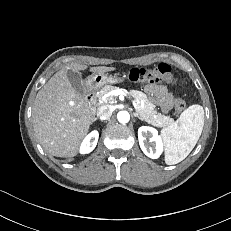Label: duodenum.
I'll return each mask as SVG.
<instances>
[{
    "label": "duodenum",
    "instance_id": "1",
    "mask_svg": "<svg viewBox=\"0 0 231 231\" xmlns=\"http://www.w3.org/2000/svg\"><path fill=\"white\" fill-rule=\"evenodd\" d=\"M85 99L90 107L95 104V85L88 83L85 87Z\"/></svg>",
    "mask_w": 231,
    "mask_h": 231
}]
</instances>
